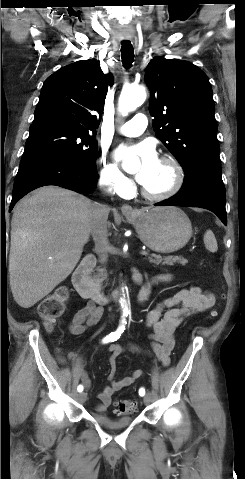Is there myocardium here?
Wrapping results in <instances>:
<instances>
[{
	"label": "myocardium",
	"instance_id": "obj_1",
	"mask_svg": "<svg viewBox=\"0 0 245 479\" xmlns=\"http://www.w3.org/2000/svg\"><path fill=\"white\" fill-rule=\"evenodd\" d=\"M159 161L167 163L171 167L173 174L172 182L166 190L160 193H152L142 186L141 194L150 201H164L173 197L180 191L184 183L185 175L183 167L174 156L164 154L159 158Z\"/></svg>",
	"mask_w": 245,
	"mask_h": 479
}]
</instances>
